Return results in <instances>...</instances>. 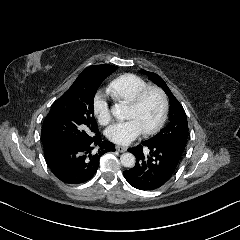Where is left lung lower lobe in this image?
Instances as JSON below:
<instances>
[{"label": "left lung lower lobe", "mask_w": 240, "mask_h": 240, "mask_svg": "<svg viewBox=\"0 0 240 240\" xmlns=\"http://www.w3.org/2000/svg\"><path fill=\"white\" fill-rule=\"evenodd\" d=\"M128 151L137 160L133 168L123 172L126 180L136 189L154 190L172 177L184 150L175 145L142 142Z\"/></svg>", "instance_id": "1"}]
</instances>
